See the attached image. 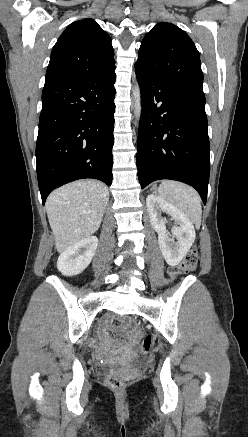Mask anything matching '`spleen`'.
Returning <instances> with one entry per match:
<instances>
[{
    "label": "spleen",
    "instance_id": "3e777b00",
    "mask_svg": "<svg viewBox=\"0 0 248 437\" xmlns=\"http://www.w3.org/2000/svg\"><path fill=\"white\" fill-rule=\"evenodd\" d=\"M158 193L161 198L182 211L196 227L200 226L201 198L192 187L181 182L166 180L160 184Z\"/></svg>",
    "mask_w": 248,
    "mask_h": 437
}]
</instances>
